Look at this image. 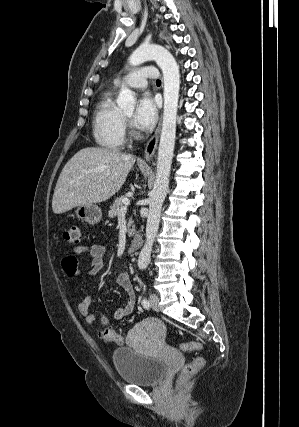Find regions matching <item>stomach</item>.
I'll list each match as a JSON object with an SVG mask.
<instances>
[{
	"label": "stomach",
	"mask_w": 299,
	"mask_h": 427,
	"mask_svg": "<svg viewBox=\"0 0 299 427\" xmlns=\"http://www.w3.org/2000/svg\"><path fill=\"white\" fill-rule=\"evenodd\" d=\"M77 218L89 223L97 224L102 219V210L96 204H85L78 206L75 210Z\"/></svg>",
	"instance_id": "1"
}]
</instances>
